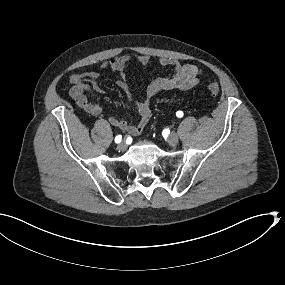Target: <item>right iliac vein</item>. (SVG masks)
<instances>
[{
  "mask_svg": "<svg viewBox=\"0 0 285 285\" xmlns=\"http://www.w3.org/2000/svg\"><path fill=\"white\" fill-rule=\"evenodd\" d=\"M119 150L123 151L127 148V145L124 143V142H121L118 144V147H117Z\"/></svg>",
  "mask_w": 285,
  "mask_h": 285,
  "instance_id": "obj_1",
  "label": "right iliac vein"
}]
</instances>
